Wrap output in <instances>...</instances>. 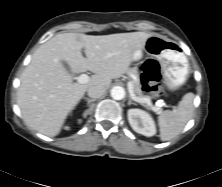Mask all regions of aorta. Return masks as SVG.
<instances>
[{
	"instance_id": "aorta-1",
	"label": "aorta",
	"mask_w": 222,
	"mask_h": 187,
	"mask_svg": "<svg viewBox=\"0 0 222 187\" xmlns=\"http://www.w3.org/2000/svg\"><path fill=\"white\" fill-rule=\"evenodd\" d=\"M110 93L111 97L115 100H122L125 97V90L121 86H114Z\"/></svg>"
}]
</instances>
